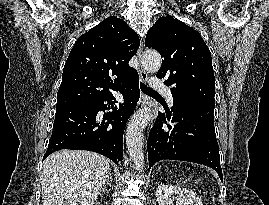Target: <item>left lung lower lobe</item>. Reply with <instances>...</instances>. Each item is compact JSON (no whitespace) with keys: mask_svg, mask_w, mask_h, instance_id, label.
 <instances>
[{"mask_svg":"<svg viewBox=\"0 0 269 205\" xmlns=\"http://www.w3.org/2000/svg\"><path fill=\"white\" fill-rule=\"evenodd\" d=\"M214 107V101L205 99L174 101L172 112H166L173 125L159 113L147 144L149 168L164 159L189 161L211 167L222 180Z\"/></svg>","mask_w":269,"mask_h":205,"instance_id":"obj_1","label":"left lung lower lobe"}]
</instances>
